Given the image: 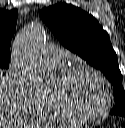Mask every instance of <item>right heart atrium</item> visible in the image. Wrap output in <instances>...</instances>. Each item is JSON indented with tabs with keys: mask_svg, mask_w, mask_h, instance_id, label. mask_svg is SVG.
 <instances>
[{
	"mask_svg": "<svg viewBox=\"0 0 125 128\" xmlns=\"http://www.w3.org/2000/svg\"><path fill=\"white\" fill-rule=\"evenodd\" d=\"M12 105L24 113H33L40 97V91L20 72L12 69L7 74Z\"/></svg>",
	"mask_w": 125,
	"mask_h": 128,
	"instance_id": "obj_1",
	"label": "right heart atrium"
}]
</instances>
